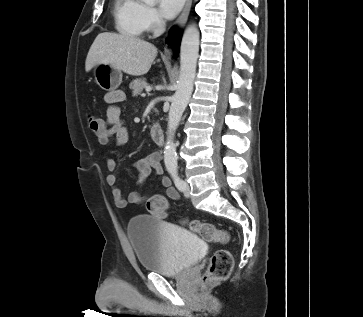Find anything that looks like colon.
<instances>
[{
	"label": "colon",
	"mask_w": 363,
	"mask_h": 317,
	"mask_svg": "<svg viewBox=\"0 0 363 317\" xmlns=\"http://www.w3.org/2000/svg\"><path fill=\"white\" fill-rule=\"evenodd\" d=\"M89 129L96 135L104 131V121L95 115L87 116ZM148 212L158 218L166 216V202L161 198H152L146 202ZM191 230L197 232L202 238L209 242L225 243L228 239L227 233L211 223H204L197 220L188 222ZM233 269V258L224 249L217 250L210 258L207 270L205 271L202 283L204 286L214 282L227 279Z\"/></svg>",
	"instance_id": "obj_1"
}]
</instances>
